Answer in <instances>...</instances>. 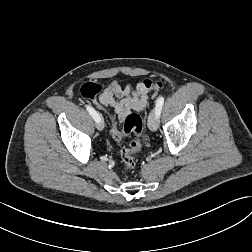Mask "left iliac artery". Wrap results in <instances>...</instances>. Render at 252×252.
<instances>
[{
	"instance_id": "left-iliac-artery-1",
	"label": "left iliac artery",
	"mask_w": 252,
	"mask_h": 252,
	"mask_svg": "<svg viewBox=\"0 0 252 252\" xmlns=\"http://www.w3.org/2000/svg\"><path fill=\"white\" fill-rule=\"evenodd\" d=\"M163 103H164V97L161 96V97H159L157 99V101H156V107H155L156 114H157L158 117L160 116Z\"/></svg>"
}]
</instances>
